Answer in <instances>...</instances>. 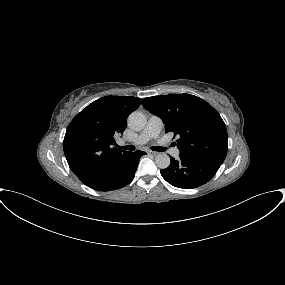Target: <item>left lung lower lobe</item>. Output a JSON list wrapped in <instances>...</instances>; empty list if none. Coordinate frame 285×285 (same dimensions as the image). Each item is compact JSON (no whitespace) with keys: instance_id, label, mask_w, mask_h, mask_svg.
<instances>
[{"instance_id":"obj_1","label":"left lung lower lobe","mask_w":285,"mask_h":285,"mask_svg":"<svg viewBox=\"0 0 285 285\" xmlns=\"http://www.w3.org/2000/svg\"><path fill=\"white\" fill-rule=\"evenodd\" d=\"M171 159L168 168L160 171L162 177L178 188H196L211 180L222 163L205 158L179 155Z\"/></svg>"}]
</instances>
